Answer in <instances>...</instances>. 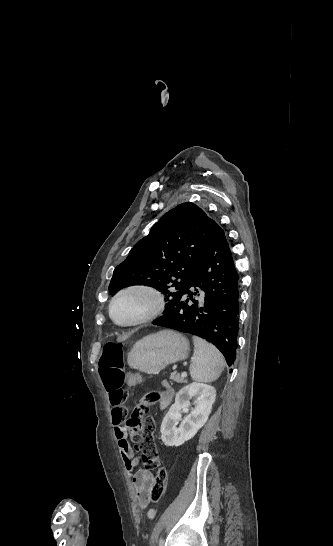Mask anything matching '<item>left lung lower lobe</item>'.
I'll return each instance as SVG.
<instances>
[{
  "instance_id": "0a47b994",
  "label": "left lung lower lobe",
  "mask_w": 333,
  "mask_h": 546,
  "mask_svg": "<svg viewBox=\"0 0 333 546\" xmlns=\"http://www.w3.org/2000/svg\"><path fill=\"white\" fill-rule=\"evenodd\" d=\"M192 287L205 292L202 301L194 298L199 291H192ZM239 297V275L225 233L218 226L211 247L188 286L172 298L173 308L153 324L210 341L232 366L237 349Z\"/></svg>"
}]
</instances>
